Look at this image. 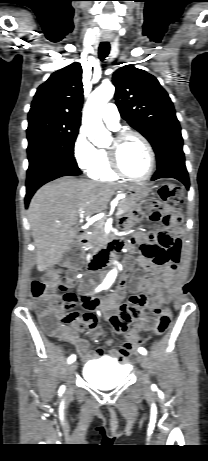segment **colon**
<instances>
[{"instance_id":"colon-1","label":"colon","mask_w":208,"mask_h":461,"mask_svg":"<svg viewBox=\"0 0 208 461\" xmlns=\"http://www.w3.org/2000/svg\"><path fill=\"white\" fill-rule=\"evenodd\" d=\"M158 200H148L142 204V210L152 221L162 220L167 227H171L181 221L180 209L182 205V190L175 184H163L158 191ZM165 211V214L162 212ZM141 251H167L159 249L158 245H141ZM71 286L69 280L60 277L55 269L49 270L41 279L35 280L31 285L32 297L36 302V309L43 329L52 337L60 336V324L57 321L58 313H70L71 309H64L60 294L67 291ZM171 324V313L164 310L158 318L154 332L163 335ZM143 346L142 340H126L120 349L125 352H133Z\"/></svg>"}]
</instances>
